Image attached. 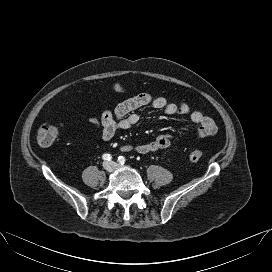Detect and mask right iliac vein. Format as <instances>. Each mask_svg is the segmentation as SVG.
Wrapping results in <instances>:
<instances>
[{"instance_id": "obj_1", "label": "right iliac vein", "mask_w": 272, "mask_h": 272, "mask_svg": "<svg viewBox=\"0 0 272 272\" xmlns=\"http://www.w3.org/2000/svg\"><path fill=\"white\" fill-rule=\"evenodd\" d=\"M103 167L108 172H111L114 168L113 165L111 164V162H104Z\"/></svg>"}]
</instances>
